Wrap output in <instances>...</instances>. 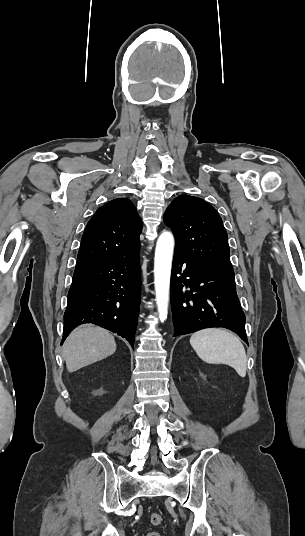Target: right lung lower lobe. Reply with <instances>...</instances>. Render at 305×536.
<instances>
[{"mask_svg": "<svg viewBox=\"0 0 305 536\" xmlns=\"http://www.w3.org/2000/svg\"><path fill=\"white\" fill-rule=\"evenodd\" d=\"M141 299L140 253L75 269L64 314L63 341L82 323H94L131 345Z\"/></svg>", "mask_w": 305, "mask_h": 536, "instance_id": "98d812e1", "label": "right lung lower lobe"}]
</instances>
